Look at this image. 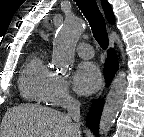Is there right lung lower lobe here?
Listing matches in <instances>:
<instances>
[{
  "label": "right lung lower lobe",
  "mask_w": 144,
  "mask_h": 137,
  "mask_svg": "<svg viewBox=\"0 0 144 137\" xmlns=\"http://www.w3.org/2000/svg\"><path fill=\"white\" fill-rule=\"evenodd\" d=\"M116 53L113 49L108 50V57L105 63V74L107 79H112L117 70ZM102 100L98 99L92 103L91 109L87 114L86 124L98 136L99 120L101 115Z\"/></svg>",
  "instance_id": "98d812e1"
}]
</instances>
